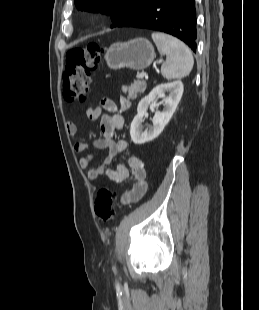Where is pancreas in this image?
<instances>
[{
	"instance_id": "cf45deb5",
	"label": "pancreas",
	"mask_w": 259,
	"mask_h": 310,
	"mask_svg": "<svg viewBox=\"0 0 259 310\" xmlns=\"http://www.w3.org/2000/svg\"><path fill=\"white\" fill-rule=\"evenodd\" d=\"M146 82L136 80L129 87L123 86V93L128 92V99L135 100L139 95H141L146 90Z\"/></svg>"
}]
</instances>
